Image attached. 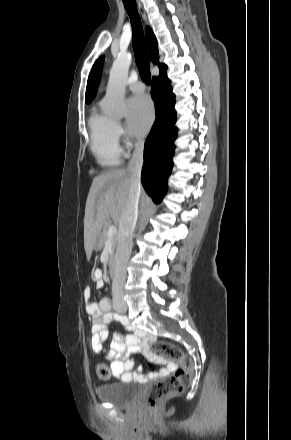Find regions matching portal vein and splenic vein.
Returning <instances> with one entry per match:
<instances>
[{
	"instance_id": "18ae733b",
	"label": "portal vein and splenic vein",
	"mask_w": 291,
	"mask_h": 440,
	"mask_svg": "<svg viewBox=\"0 0 291 440\" xmlns=\"http://www.w3.org/2000/svg\"><path fill=\"white\" fill-rule=\"evenodd\" d=\"M116 232H117V228L114 225H112L109 227V229L107 231V236L112 237L113 235L116 234Z\"/></svg>"
}]
</instances>
